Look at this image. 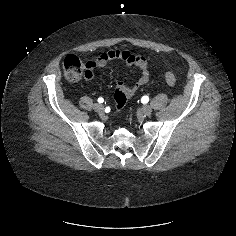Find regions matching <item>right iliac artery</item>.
I'll return each mask as SVG.
<instances>
[{"label":"right iliac artery","mask_w":236,"mask_h":236,"mask_svg":"<svg viewBox=\"0 0 236 236\" xmlns=\"http://www.w3.org/2000/svg\"><path fill=\"white\" fill-rule=\"evenodd\" d=\"M98 102L99 103H103L104 102V99L102 97L98 98Z\"/></svg>","instance_id":"82829eb1"}]
</instances>
